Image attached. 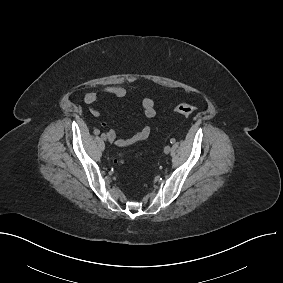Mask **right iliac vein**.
I'll use <instances>...</instances> for the list:
<instances>
[{"instance_id": "obj_1", "label": "right iliac vein", "mask_w": 283, "mask_h": 283, "mask_svg": "<svg viewBox=\"0 0 283 283\" xmlns=\"http://www.w3.org/2000/svg\"><path fill=\"white\" fill-rule=\"evenodd\" d=\"M103 134H104V133H103ZM101 138L106 141V140H107L106 134H104Z\"/></svg>"}]
</instances>
